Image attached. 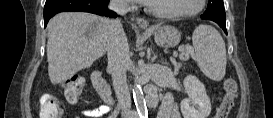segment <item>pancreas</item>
<instances>
[{
    "mask_svg": "<svg viewBox=\"0 0 273 118\" xmlns=\"http://www.w3.org/2000/svg\"><path fill=\"white\" fill-rule=\"evenodd\" d=\"M185 59L194 56L193 48L190 46H186L184 52L182 53Z\"/></svg>",
    "mask_w": 273,
    "mask_h": 118,
    "instance_id": "1",
    "label": "pancreas"
}]
</instances>
